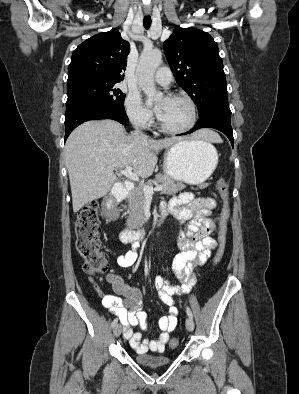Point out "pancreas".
Wrapping results in <instances>:
<instances>
[{"instance_id": "obj_1", "label": "pancreas", "mask_w": 299, "mask_h": 394, "mask_svg": "<svg viewBox=\"0 0 299 394\" xmlns=\"http://www.w3.org/2000/svg\"><path fill=\"white\" fill-rule=\"evenodd\" d=\"M163 186L162 193L167 195H174L181 190L185 189V185L183 183H175L172 178L167 176L166 174L159 173L155 176L154 180H149L145 185H149L153 187L154 185ZM209 184H201L199 186L200 189H204ZM144 205H145V194L141 186L135 188L129 195V204L128 211L129 214L128 222L129 225L138 229L142 227V225L146 222V218L144 215Z\"/></svg>"}]
</instances>
